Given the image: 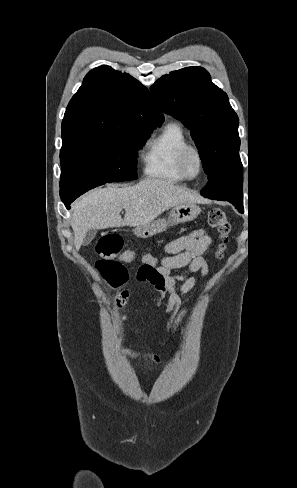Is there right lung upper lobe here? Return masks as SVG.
Wrapping results in <instances>:
<instances>
[{
    "label": "right lung upper lobe",
    "instance_id": "cb5924a9",
    "mask_svg": "<svg viewBox=\"0 0 297 488\" xmlns=\"http://www.w3.org/2000/svg\"><path fill=\"white\" fill-rule=\"evenodd\" d=\"M163 121L162 112L145 86L129 74L103 65L86 75L70 100L62 121V140L121 134Z\"/></svg>",
    "mask_w": 297,
    "mask_h": 488
}]
</instances>
